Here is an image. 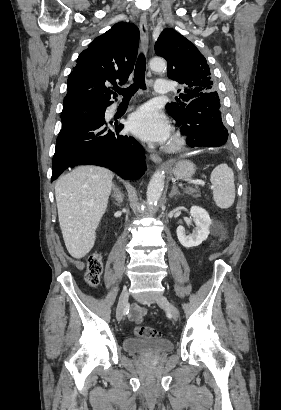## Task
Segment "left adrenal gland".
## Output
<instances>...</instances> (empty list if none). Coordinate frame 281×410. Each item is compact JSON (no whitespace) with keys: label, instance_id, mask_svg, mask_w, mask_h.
Masks as SVG:
<instances>
[{"label":"left adrenal gland","instance_id":"1","mask_svg":"<svg viewBox=\"0 0 281 410\" xmlns=\"http://www.w3.org/2000/svg\"><path fill=\"white\" fill-rule=\"evenodd\" d=\"M175 195H180V192L178 191L177 186L174 184V185L172 186V190H171V192H170V194H169V197L172 198V197H174Z\"/></svg>","mask_w":281,"mask_h":410}]
</instances>
